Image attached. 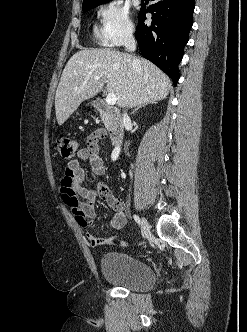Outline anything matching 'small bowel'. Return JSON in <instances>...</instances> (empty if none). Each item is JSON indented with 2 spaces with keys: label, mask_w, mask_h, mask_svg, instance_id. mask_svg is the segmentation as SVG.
I'll return each mask as SVG.
<instances>
[{
  "label": "small bowel",
  "mask_w": 247,
  "mask_h": 332,
  "mask_svg": "<svg viewBox=\"0 0 247 332\" xmlns=\"http://www.w3.org/2000/svg\"><path fill=\"white\" fill-rule=\"evenodd\" d=\"M105 137V131L98 129L87 138V146L80 148L75 157L68 161L64 176L60 181L62 200L70 208L75 216V220L81 227H89L96 217V201L100 197L113 209L114 215L110 225L115 230H121L126 225V205L125 202L115 197L109 187L103 183H98L96 189L87 187L85 183V170L81 162L89 161L93 174L103 176L106 168L102 157L99 155V140ZM86 239L90 246L98 247L114 243L113 237H97L88 232Z\"/></svg>",
  "instance_id": "small-bowel-1"
}]
</instances>
